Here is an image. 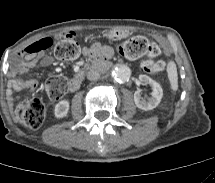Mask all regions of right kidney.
I'll return each mask as SVG.
<instances>
[{
	"label": "right kidney",
	"mask_w": 215,
	"mask_h": 183,
	"mask_svg": "<svg viewBox=\"0 0 215 183\" xmlns=\"http://www.w3.org/2000/svg\"><path fill=\"white\" fill-rule=\"evenodd\" d=\"M69 101L64 99L55 105L54 114L57 118H63L68 114Z\"/></svg>",
	"instance_id": "1"
}]
</instances>
